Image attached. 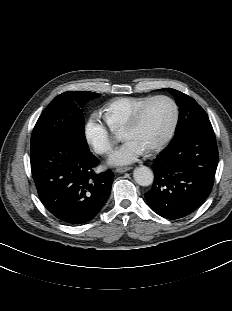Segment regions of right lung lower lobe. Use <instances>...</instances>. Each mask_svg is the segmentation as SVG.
<instances>
[{
  "label": "right lung lower lobe",
  "instance_id": "98d812e1",
  "mask_svg": "<svg viewBox=\"0 0 232 311\" xmlns=\"http://www.w3.org/2000/svg\"><path fill=\"white\" fill-rule=\"evenodd\" d=\"M98 164L90 151L63 140L31 146V170L39 197L64 223H87L106 203L114 175L110 170L95 174Z\"/></svg>",
  "mask_w": 232,
  "mask_h": 311
}]
</instances>
